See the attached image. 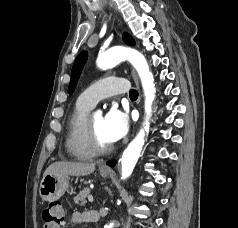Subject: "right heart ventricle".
<instances>
[{
	"instance_id": "1",
	"label": "right heart ventricle",
	"mask_w": 238,
	"mask_h": 228,
	"mask_svg": "<svg viewBox=\"0 0 238 228\" xmlns=\"http://www.w3.org/2000/svg\"><path fill=\"white\" fill-rule=\"evenodd\" d=\"M90 109L78 98L67 120L65 146L68 154L79 160H90L95 155L87 139V113Z\"/></svg>"
}]
</instances>
